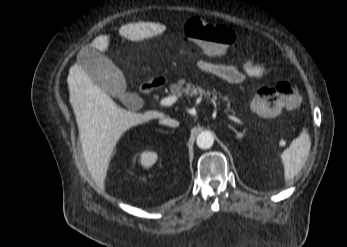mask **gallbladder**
Wrapping results in <instances>:
<instances>
[{"label": "gallbladder", "instance_id": "1", "mask_svg": "<svg viewBox=\"0 0 347 247\" xmlns=\"http://www.w3.org/2000/svg\"><path fill=\"white\" fill-rule=\"evenodd\" d=\"M77 61L85 73L110 96L117 98L128 108H134L139 97L126 92V80L122 72L92 47L81 50Z\"/></svg>", "mask_w": 347, "mask_h": 247}]
</instances>
